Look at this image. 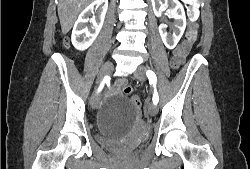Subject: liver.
Listing matches in <instances>:
<instances>
[{"mask_svg": "<svg viewBox=\"0 0 250 169\" xmlns=\"http://www.w3.org/2000/svg\"><path fill=\"white\" fill-rule=\"evenodd\" d=\"M92 0H59L58 16L60 18L61 30L67 34L72 28L79 12Z\"/></svg>", "mask_w": 250, "mask_h": 169, "instance_id": "obj_1", "label": "liver"}]
</instances>
